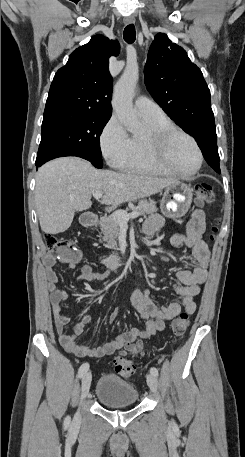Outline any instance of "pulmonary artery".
Masks as SVG:
<instances>
[{
  "label": "pulmonary artery",
  "instance_id": "e3ab8cb5",
  "mask_svg": "<svg viewBox=\"0 0 245 457\" xmlns=\"http://www.w3.org/2000/svg\"><path fill=\"white\" fill-rule=\"evenodd\" d=\"M135 109L144 118H156L164 115L162 108L156 103L144 99L143 97H137L134 100Z\"/></svg>",
  "mask_w": 245,
  "mask_h": 457
}]
</instances>
